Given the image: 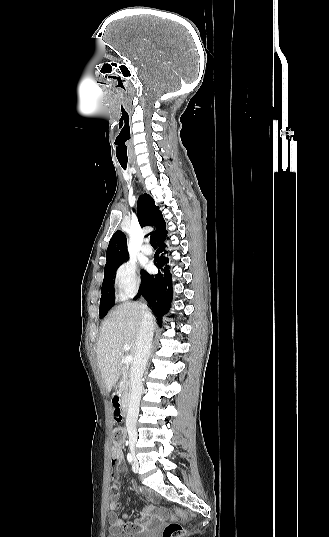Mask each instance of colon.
Here are the masks:
<instances>
[{
    "label": "colon",
    "instance_id": "1",
    "mask_svg": "<svg viewBox=\"0 0 329 537\" xmlns=\"http://www.w3.org/2000/svg\"><path fill=\"white\" fill-rule=\"evenodd\" d=\"M115 408V407H114ZM112 440L114 445L121 446L125 440V431L122 426L115 424L112 430ZM168 516L170 519H183L186 516L185 511L172 509L169 511ZM193 516H196V513H193ZM183 527L177 522L168 523L163 529V537H182Z\"/></svg>",
    "mask_w": 329,
    "mask_h": 537
}]
</instances>
